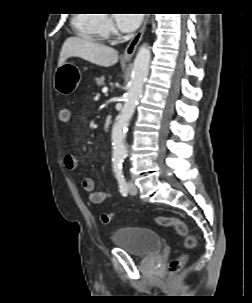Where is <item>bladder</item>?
<instances>
[{"label": "bladder", "instance_id": "bladder-1", "mask_svg": "<svg viewBox=\"0 0 252 303\" xmlns=\"http://www.w3.org/2000/svg\"><path fill=\"white\" fill-rule=\"evenodd\" d=\"M112 243L136 257H149L159 252L162 239L158 233L147 228L126 227L112 235Z\"/></svg>", "mask_w": 252, "mask_h": 303}]
</instances>
